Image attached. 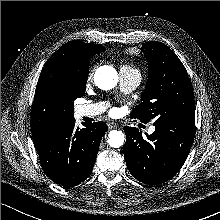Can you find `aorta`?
Returning <instances> with one entry per match:
<instances>
[{"mask_svg": "<svg viewBox=\"0 0 220 220\" xmlns=\"http://www.w3.org/2000/svg\"><path fill=\"white\" fill-rule=\"evenodd\" d=\"M96 86L102 90H110L117 85L118 73L111 66H101L94 75ZM124 133L122 131L112 130L109 133L108 144L113 148H119L124 144Z\"/></svg>", "mask_w": 220, "mask_h": 220, "instance_id": "obj_1", "label": "aorta"}]
</instances>
